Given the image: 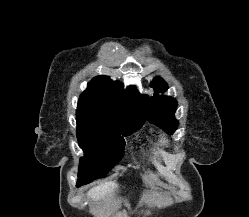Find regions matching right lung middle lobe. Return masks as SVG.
<instances>
[{
  "label": "right lung middle lobe",
  "mask_w": 249,
  "mask_h": 217,
  "mask_svg": "<svg viewBox=\"0 0 249 217\" xmlns=\"http://www.w3.org/2000/svg\"><path fill=\"white\" fill-rule=\"evenodd\" d=\"M77 139L84 151L80 159L78 183L84 185L105 177L124 154V137L142 124L128 126L118 119L88 108H77Z\"/></svg>",
  "instance_id": "right-lung-middle-lobe-1"
}]
</instances>
